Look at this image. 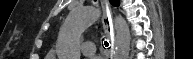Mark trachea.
Masks as SVG:
<instances>
[{
    "instance_id": "3493384b",
    "label": "trachea",
    "mask_w": 193,
    "mask_h": 59,
    "mask_svg": "<svg viewBox=\"0 0 193 59\" xmlns=\"http://www.w3.org/2000/svg\"><path fill=\"white\" fill-rule=\"evenodd\" d=\"M105 47L109 46V43L107 41L104 42Z\"/></svg>"
}]
</instances>
